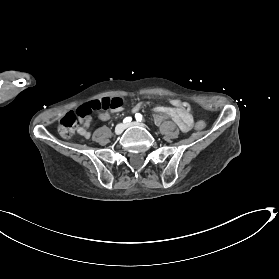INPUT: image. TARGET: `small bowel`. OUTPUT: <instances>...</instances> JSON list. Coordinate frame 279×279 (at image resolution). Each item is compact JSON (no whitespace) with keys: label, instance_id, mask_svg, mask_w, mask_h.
<instances>
[{"label":"small bowel","instance_id":"1","mask_svg":"<svg viewBox=\"0 0 279 279\" xmlns=\"http://www.w3.org/2000/svg\"><path fill=\"white\" fill-rule=\"evenodd\" d=\"M172 107H163L159 106L155 108V112L157 113L156 121H160L162 117L169 116L180 128L182 132H188L193 123V119L191 114L186 111L180 104L179 99L171 100ZM143 106V103H138L133 108V112H138ZM122 110V107L113 110L115 112H119ZM100 120L106 121L110 118V112L105 111L101 112L98 115ZM92 118L90 116L86 117L82 123V126L79 128V134L85 138L90 137L89 127L91 125Z\"/></svg>","mask_w":279,"mask_h":279}]
</instances>
